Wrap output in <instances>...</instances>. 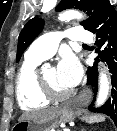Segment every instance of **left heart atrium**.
Masks as SVG:
<instances>
[{"instance_id":"obj_1","label":"left heart atrium","mask_w":117,"mask_h":131,"mask_svg":"<svg viewBox=\"0 0 117 131\" xmlns=\"http://www.w3.org/2000/svg\"><path fill=\"white\" fill-rule=\"evenodd\" d=\"M57 73L60 83L71 89L80 82L82 68L74 55L66 54L58 64Z\"/></svg>"}]
</instances>
